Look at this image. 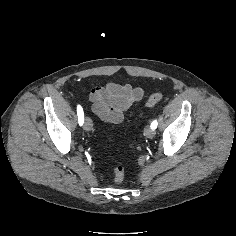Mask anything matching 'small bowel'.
Returning a JSON list of instances; mask_svg holds the SVG:
<instances>
[{
	"label": "small bowel",
	"mask_w": 236,
	"mask_h": 236,
	"mask_svg": "<svg viewBox=\"0 0 236 236\" xmlns=\"http://www.w3.org/2000/svg\"><path fill=\"white\" fill-rule=\"evenodd\" d=\"M144 95L142 88L130 84L108 83L92 89L89 100L93 112L102 120L120 123L124 112Z\"/></svg>",
	"instance_id": "1"
}]
</instances>
